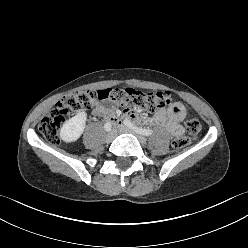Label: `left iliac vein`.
Returning a JSON list of instances; mask_svg holds the SVG:
<instances>
[{
  "label": "left iliac vein",
  "mask_w": 248,
  "mask_h": 248,
  "mask_svg": "<svg viewBox=\"0 0 248 248\" xmlns=\"http://www.w3.org/2000/svg\"><path fill=\"white\" fill-rule=\"evenodd\" d=\"M119 131H120L121 133H130V134H133V135H135V136L138 138V140L140 141L141 144H145V143H146L145 137H143L141 134L135 132V131H134L133 129H131V128H128V127L122 125V126L119 128Z\"/></svg>",
  "instance_id": "1"
}]
</instances>
